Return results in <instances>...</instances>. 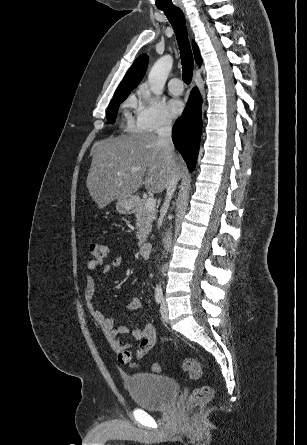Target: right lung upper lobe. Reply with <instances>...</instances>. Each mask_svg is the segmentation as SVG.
<instances>
[{
	"label": "right lung upper lobe",
	"mask_w": 307,
	"mask_h": 445,
	"mask_svg": "<svg viewBox=\"0 0 307 445\" xmlns=\"http://www.w3.org/2000/svg\"><path fill=\"white\" fill-rule=\"evenodd\" d=\"M193 50H194L196 62L198 64H200L202 61L201 56L199 53V49L194 42H193ZM147 62H148V57L146 54L140 55L135 60L133 65L130 67V69L124 76L120 85L116 89V91L114 93V97L111 100V102L126 98L130 94V91L133 90L135 88V86H137L140 83V81L142 80V78L145 74Z\"/></svg>",
	"instance_id": "obj_1"
}]
</instances>
